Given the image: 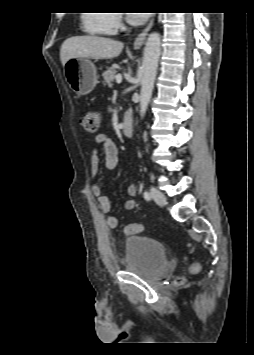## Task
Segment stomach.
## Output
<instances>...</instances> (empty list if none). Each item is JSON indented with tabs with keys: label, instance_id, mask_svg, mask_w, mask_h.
Masks as SVG:
<instances>
[{
	"label": "stomach",
	"instance_id": "obj_1",
	"mask_svg": "<svg viewBox=\"0 0 254 355\" xmlns=\"http://www.w3.org/2000/svg\"><path fill=\"white\" fill-rule=\"evenodd\" d=\"M64 72L69 86L77 94H89L97 84L96 67L88 58L69 59Z\"/></svg>",
	"mask_w": 254,
	"mask_h": 355
}]
</instances>
